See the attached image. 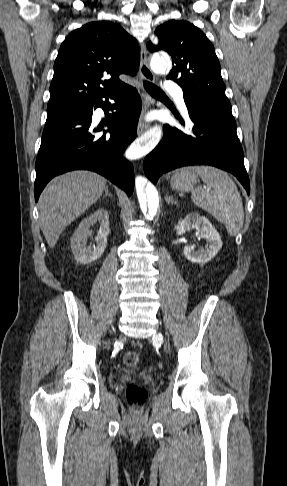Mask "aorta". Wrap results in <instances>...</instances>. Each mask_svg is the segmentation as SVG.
I'll use <instances>...</instances> for the list:
<instances>
[{"instance_id":"aorta-1","label":"aorta","mask_w":287,"mask_h":486,"mask_svg":"<svg viewBox=\"0 0 287 486\" xmlns=\"http://www.w3.org/2000/svg\"><path fill=\"white\" fill-rule=\"evenodd\" d=\"M150 66L155 73H163L165 70H169L172 64L169 56L156 53L151 57ZM161 136L162 133L158 132L157 140L152 144H150V142L147 143V146H155L161 139ZM135 187L140 207L145 218L147 220H152L156 216L159 208V196L156 188L150 182L142 184L139 181H136Z\"/></svg>"}]
</instances>
